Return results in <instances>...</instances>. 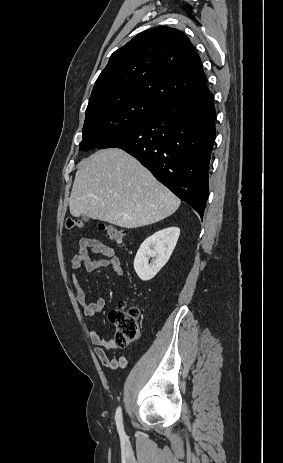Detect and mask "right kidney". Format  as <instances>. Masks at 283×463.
<instances>
[{"mask_svg": "<svg viewBox=\"0 0 283 463\" xmlns=\"http://www.w3.org/2000/svg\"><path fill=\"white\" fill-rule=\"evenodd\" d=\"M179 235L178 227H169L154 233L141 244L134 259V269L141 280H151L168 262ZM150 257L153 261L149 264Z\"/></svg>", "mask_w": 283, "mask_h": 463, "instance_id": "right-kidney-1", "label": "right kidney"}]
</instances>
